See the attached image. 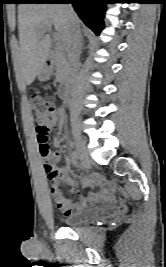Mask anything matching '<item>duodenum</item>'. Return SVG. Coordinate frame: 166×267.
Masks as SVG:
<instances>
[{
	"label": "duodenum",
	"mask_w": 166,
	"mask_h": 267,
	"mask_svg": "<svg viewBox=\"0 0 166 267\" xmlns=\"http://www.w3.org/2000/svg\"><path fill=\"white\" fill-rule=\"evenodd\" d=\"M43 70L46 74H51L52 72H54L56 70V63L53 60L51 55H48L44 59ZM68 92H69V82L66 79H63V81L61 83V87L58 91L59 97L60 98H66L68 96Z\"/></svg>",
	"instance_id": "410a0bca"
}]
</instances>
